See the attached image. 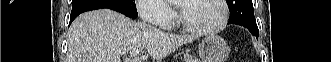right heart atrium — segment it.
<instances>
[{"label":"right heart atrium","mask_w":331,"mask_h":62,"mask_svg":"<svg viewBox=\"0 0 331 62\" xmlns=\"http://www.w3.org/2000/svg\"><path fill=\"white\" fill-rule=\"evenodd\" d=\"M136 9L144 20L158 27H169L174 20V12L164 0H139Z\"/></svg>","instance_id":"d8ad5b80"}]
</instances>
